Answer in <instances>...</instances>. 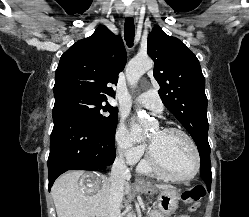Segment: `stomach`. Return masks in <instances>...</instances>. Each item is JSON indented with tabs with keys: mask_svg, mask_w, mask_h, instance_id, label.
Returning a JSON list of instances; mask_svg holds the SVG:
<instances>
[{
	"mask_svg": "<svg viewBox=\"0 0 249 217\" xmlns=\"http://www.w3.org/2000/svg\"><path fill=\"white\" fill-rule=\"evenodd\" d=\"M141 190L146 193H157V189L153 186L146 185L142 186ZM179 195L173 188L164 189L159 191L158 195V208L159 210L166 215H170L175 212L178 207Z\"/></svg>",
	"mask_w": 249,
	"mask_h": 217,
	"instance_id": "1",
	"label": "stomach"
}]
</instances>
